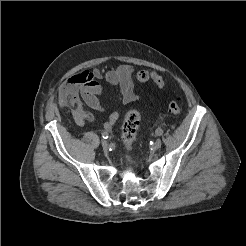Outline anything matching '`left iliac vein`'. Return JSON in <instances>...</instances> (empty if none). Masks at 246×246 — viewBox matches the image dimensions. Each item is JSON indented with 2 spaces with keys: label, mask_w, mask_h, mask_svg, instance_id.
I'll use <instances>...</instances> for the list:
<instances>
[{
  "label": "left iliac vein",
  "mask_w": 246,
  "mask_h": 246,
  "mask_svg": "<svg viewBox=\"0 0 246 246\" xmlns=\"http://www.w3.org/2000/svg\"><path fill=\"white\" fill-rule=\"evenodd\" d=\"M161 145H162L161 139H157V140L154 142L153 148H154L155 150H157V149H159V148L161 147Z\"/></svg>",
  "instance_id": "4c4485c4"
}]
</instances>
